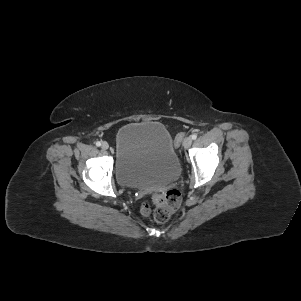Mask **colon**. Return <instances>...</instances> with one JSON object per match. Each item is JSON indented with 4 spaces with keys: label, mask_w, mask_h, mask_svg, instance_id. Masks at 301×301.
<instances>
[{
    "label": "colon",
    "mask_w": 301,
    "mask_h": 301,
    "mask_svg": "<svg viewBox=\"0 0 301 301\" xmlns=\"http://www.w3.org/2000/svg\"><path fill=\"white\" fill-rule=\"evenodd\" d=\"M185 137L184 133H179L175 137V146L178 147ZM181 193L179 190L172 189L164 193H156L150 200H144L141 205V213L148 217L151 214L158 223L167 222L172 214L179 208L181 204ZM153 204V208H152Z\"/></svg>",
    "instance_id": "5ec220e1"
}]
</instances>
